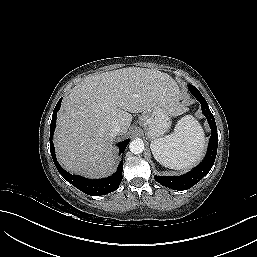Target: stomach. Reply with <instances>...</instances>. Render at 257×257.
Listing matches in <instances>:
<instances>
[{
    "label": "stomach",
    "mask_w": 257,
    "mask_h": 257,
    "mask_svg": "<svg viewBox=\"0 0 257 257\" xmlns=\"http://www.w3.org/2000/svg\"><path fill=\"white\" fill-rule=\"evenodd\" d=\"M139 124L149 139L156 140L169 130L170 113L161 103H156L142 112Z\"/></svg>",
    "instance_id": "obj_1"
}]
</instances>
